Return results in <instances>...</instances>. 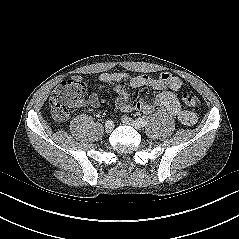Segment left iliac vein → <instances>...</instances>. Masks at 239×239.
Masks as SVG:
<instances>
[{"label":"left iliac vein","mask_w":239,"mask_h":239,"mask_svg":"<svg viewBox=\"0 0 239 239\" xmlns=\"http://www.w3.org/2000/svg\"><path fill=\"white\" fill-rule=\"evenodd\" d=\"M121 120L124 124L130 125L137 130H140L141 128V126L137 123V121L133 120L132 118L128 116H122Z\"/></svg>","instance_id":"1"}]
</instances>
